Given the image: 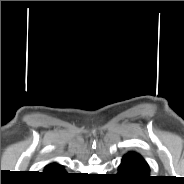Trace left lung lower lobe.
Instances as JSON below:
<instances>
[{
	"label": "left lung lower lobe",
	"instance_id": "left-lung-lower-lobe-1",
	"mask_svg": "<svg viewBox=\"0 0 184 184\" xmlns=\"http://www.w3.org/2000/svg\"><path fill=\"white\" fill-rule=\"evenodd\" d=\"M150 169L144 159L135 152H129L118 167L117 177L130 184H145L151 180Z\"/></svg>",
	"mask_w": 184,
	"mask_h": 184
}]
</instances>
